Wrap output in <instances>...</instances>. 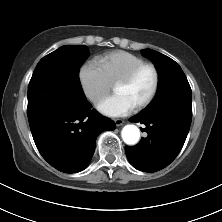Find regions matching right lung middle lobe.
Here are the masks:
<instances>
[{
	"label": "right lung middle lobe",
	"instance_id": "obj_1",
	"mask_svg": "<svg viewBox=\"0 0 222 222\" xmlns=\"http://www.w3.org/2000/svg\"><path fill=\"white\" fill-rule=\"evenodd\" d=\"M84 45H66L43 57L28 88V112L81 107L87 99L79 83V70L88 58Z\"/></svg>",
	"mask_w": 222,
	"mask_h": 222
}]
</instances>
